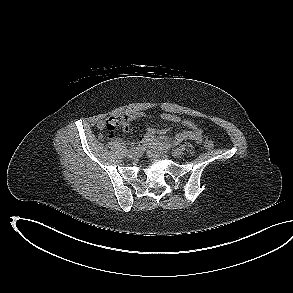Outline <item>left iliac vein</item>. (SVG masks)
Segmentation results:
<instances>
[{
	"label": "left iliac vein",
	"mask_w": 293,
	"mask_h": 293,
	"mask_svg": "<svg viewBox=\"0 0 293 293\" xmlns=\"http://www.w3.org/2000/svg\"><path fill=\"white\" fill-rule=\"evenodd\" d=\"M172 154H173L174 157L179 158V157H181V155H182L183 153H182V150H181V149H179V148H175V149H173Z\"/></svg>",
	"instance_id": "left-iliac-vein-1"
}]
</instances>
